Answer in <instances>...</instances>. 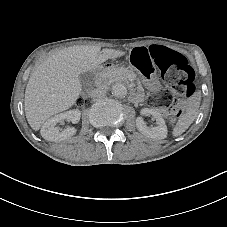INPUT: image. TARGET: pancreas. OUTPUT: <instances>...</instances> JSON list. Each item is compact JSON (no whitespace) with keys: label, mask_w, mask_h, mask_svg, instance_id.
<instances>
[{"label":"pancreas","mask_w":227,"mask_h":227,"mask_svg":"<svg viewBox=\"0 0 227 227\" xmlns=\"http://www.w3.org/2000/svg\"><path fill=\"white\" fill-rule=\"evenodd\" d=\"M129 78H136V74L125 67H115L106 72H100L97 83H112L114 81H128ZM137 85L139 89H142L141 82L137 80Z\"/></svg>","instance_id":"cf45deb5"}]
</instances>
